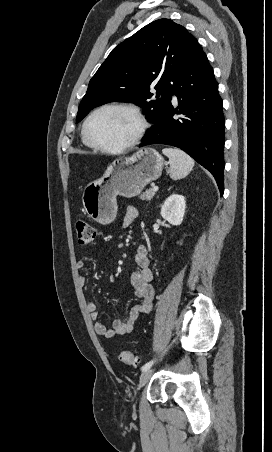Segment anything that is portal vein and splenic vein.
Returning <instances> with one entry per match:
<instances>
[{
	"label": "portal vein and splenic vein",
	"instance_id": "obj_1",
	"mask_svg": "<svg viewBox=\"0 0 272 452\" xmlns=\"http://www.w3.org/2000/svg\"><path fill=\"white\" fill-rule=\"evenodd\" d=\"M153 191H154V192H157V191H158V187H157V186H154V187H153Z\"/></svg>",
	"mask_w": 272,
	"mask_h": 452
}]
</instances>
